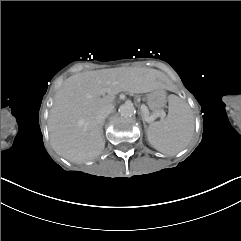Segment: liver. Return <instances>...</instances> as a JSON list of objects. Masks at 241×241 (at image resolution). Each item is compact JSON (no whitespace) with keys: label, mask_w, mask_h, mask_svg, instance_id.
Here are the masks:
<instances>
[{"label":"liver","mask_w":241,"mask_h":241,"mask_svg":"<svg viewBox=\"0 0 241 241\" xmlns=\"http://www.w3.org/2000/svg\"><path fill=\"white\" fill-rule=\"evenodd\" d=\"M162 73L155 69H104L67 78L55 96L48 130L51 146L63 158L85 163L105 147L96 115L113 105L116 95L148 93L162 88Z\"/></svg>","instance_id":"obj_1"}]
</instances>
